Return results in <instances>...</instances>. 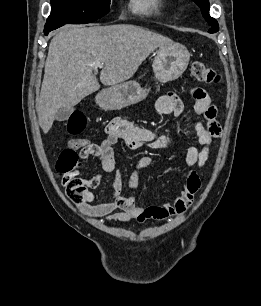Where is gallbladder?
Segmentation results:
<instances>
[{"label":"gallbladder","mask_w":261,"mask_h":306,"mask_svg":"<svg viewBox=\"0 0 261 306\" xmlns=\"http://www.w3.org/2000/svg\"><path fill=\"white\" fill-rule=\"evenodd\" d=\"M72 111H73V107L69 109H65V108L59 109L56 115V119L58 121H65L68 119Z\"/></svg>","instance_id":"gallbladder-1"}]
</instances>
